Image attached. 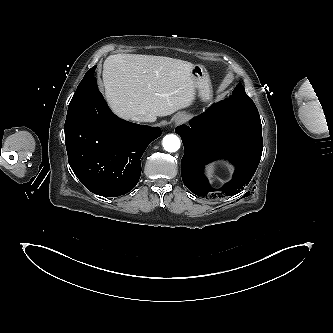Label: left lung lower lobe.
<instances>
[{
    "label": "left lung lower lobe",
    "instance_id": "obj_1",
    "mask_svg": "<svg viewBox=\"0 0 333 333\" xmlns=\"http://www.w3.org/2000/svg\"><path fill=\"white\" fill-rule=\"evenodd\" d=\"M211 116L218 124L213 136L209 133ZM175 131L181 136L185 149L181 161L182 180L192 193L202 197L232 196L248 185L263 150L262 125L255 104L237 101L231 95L193 119L190 127L182 125ZM221 157L229 158L236 170L230 182L215 190L210 187L203 169L205 163Z\"/></svg>",
    "mask_w": 333,
    "mask_h": 333
}]
</instances>
